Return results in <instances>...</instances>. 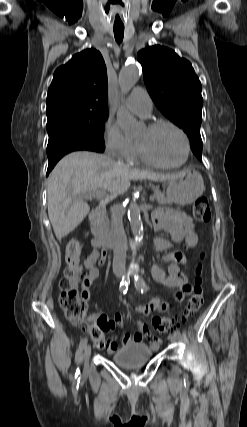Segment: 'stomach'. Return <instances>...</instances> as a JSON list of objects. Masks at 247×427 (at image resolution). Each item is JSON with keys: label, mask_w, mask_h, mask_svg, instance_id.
<instances>
[{"label": "stomach", "mask_w": 247, "mask_h": 427, "mask_svg": "<svg viewBox=\"0 0 247 427\" xmlns=\"http://www.w3.org/2000/svg\"><path fill=\"white\" fill-rule=\"evenodd\" d=\"M204 181L199 172L194 169H184L174 174L168 181L167 198L179 205H189L195 202L204 192Z\"/></svg>", "instance_id": "1"}]
</instances>
